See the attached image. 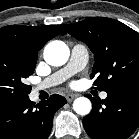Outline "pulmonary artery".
<instances>
[{
	"label": "pulmonary artery",
	"instance_id": "1",
	"mask_svg": "<svg viewBox=\"0 0 139 139\" xmlns=\"http://www.w3.org/2000/svg\"><path fill=\"white\" fill-rule=\"evenodd\" d=\"M87 61H88L87 48L82 44L74 45L71 50V56L67 65L61 70L47 77L37 87H35L34 94H37L41 90H45L49 87H52V86H55L64 82L70 76L82 70L87 64ZM100 97L102 99H105L107 97V93L102 92L100 94Z\"/></svg>",
	"mask_w": 139,
	"mask_h": 139
}]
</instances>
